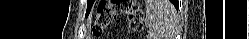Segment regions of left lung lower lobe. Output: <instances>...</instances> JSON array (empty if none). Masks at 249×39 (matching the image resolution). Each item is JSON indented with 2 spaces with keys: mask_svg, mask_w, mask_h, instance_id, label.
I'll return each instance as SVG.
<instances>
[{
  "mask_svg": "<svg viewBox=\"0 0 249 39\" xmlns=\"http://www.w3.org/2000/svg\"><path fill=\"white\" fill-rule=\"evenodd\" d=\"M173 4H174V6L177 8L178 7V2L177 1H175V0H173V1H171Z\"/></svg>",
  "mask_w": 249,
  "mask_h": 39,
  "instance_id": "obj_1",
  "label": "left lung lower lobe"
}]
</instances>
